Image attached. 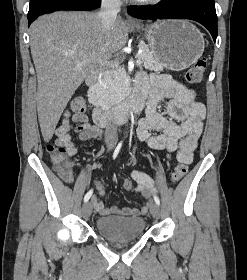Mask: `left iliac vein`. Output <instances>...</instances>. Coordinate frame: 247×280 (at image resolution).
<instances>
[{"mask_svg":"<svg viewBox=\"0 0 247 280\" xmlns=\"http://www.w3.org/2000/svg\"><path fill=\"white\" fill-rule=\"evenodd\" d=\"M150 212L154 218L160 217V208L156 203H153L150 207Z\"/></svg>","mask_w":247,"mask_h":280,"instance_id":"4c4485c4","label":"left iliac vein"}]
</instances>
